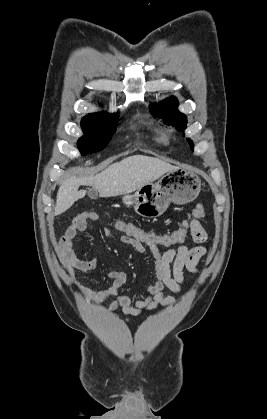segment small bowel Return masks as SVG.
<instances>
[{
  "label": "small bowel",
  "mask_w": 267,
  "mask_h": 419,
  "mask_svg": "<svg viewBox=\"0 0 267 419\" xmlns=\"http://www.w3.org/2000/svg\"><path fill=\"white\" fill-rule=\"evenodd\" d=\"M98 214L92 211H85L75 217L59 239L58 251L61 262L68 274V277L75 286L79 288L87 303L98 300H111L109 311L120 308L126 315L139 316L144 312L165 307L175 303L176 298L172 295H165L167 288L174 293H180L185 280V271L191 273L198 272V263L206 254V247L203 243L207 239V233L198 219L190 221V234L193 241L197 244L190 248L180 245L176 248L146 247L144 245L130 246L140 255L150 254L154 260L155 280L147 288V295L140 299H132L127 295L121 294L122 287L128 280V275L124 271L112 270L107 274L111 280L110 286L104 291H96L90 287H82L78 284L75 273L89 275L98 265V259H82L78 256L74 242L77 235L87 230L91 222L98 220ZM103 235L106 238H113L110 229L104 228Z\"/></svg>",
  "instance_id": "obj_1"
}]
</instances>
